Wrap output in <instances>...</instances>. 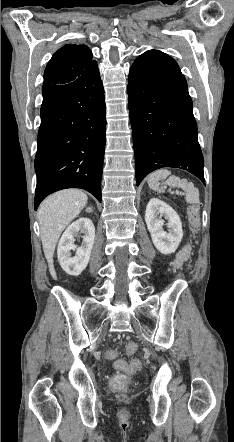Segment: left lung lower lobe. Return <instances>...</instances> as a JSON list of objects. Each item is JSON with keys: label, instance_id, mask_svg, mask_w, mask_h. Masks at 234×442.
Returning <instances> with one entry per match:
<instances>
[{"label": "left lung lower lobe", "instance_id": "0a47b994", "mask_svg": "<svg viewBox=\"0 0 234 442\" xmlns=\"http://www.w3.org/2000/svg\"><path fill=\"white\" fill-rule=\"evenodd\" d=\"M128 105L137 185L163 167L187 170L205 184L192 100L173 58L148 51L135 60L128 78Z\"/></svg>", "mask_w": 234, "mask_h": 442}]
</instances>
